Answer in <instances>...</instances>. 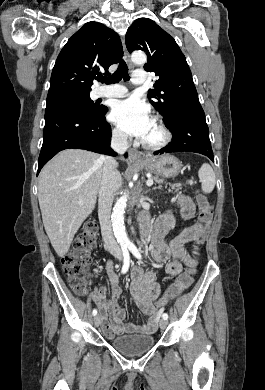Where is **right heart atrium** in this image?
<instances>
[{"mask_svg":"<svg viewBox=\"0 0 265 390\" xmlns=\"http://www.w3.org/2000/svg\"><path fill=\"white\" fill-rule=\"evenodd\" d=\"M112 136H113V140L119 144H124L127 142L126 135L122 131H120L118 128H114L112 130Z\"/></svg>","mask_w":265,"mask_h":390,"instance_id":"right-heart-atrium-1","label":"right heart atrium"}]
</instances>
